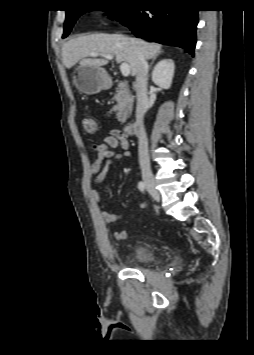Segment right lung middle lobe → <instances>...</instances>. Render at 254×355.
Segmentation results:
<instances>
[{
	"label": "right lung middle lobe",
	"mask_w": 254,
	"mask_h": 355,
	"mask_svg": "<svg viewBox=\"0 0 254 355\" xmlns=\"http://www.w3.org/2000/svg\"><path fill=\"white\" fill-rule=\"evenodd\" d=\"M131 9H132L131 6L128 5L125 8H120V9H115V10H107V11L109 12V15L112 19H116L118 21L121 18L125 17L131 11ZM87 11L88 10H76V11L68 10L66 12V21L64 24L63 38L67 37V35L70 33V31H71L74 23L78 19V17Z\"/></svg>",
	"instance_id": "right-lung-middle-lobe-1"
}]
</instances>
